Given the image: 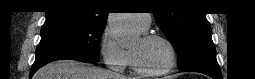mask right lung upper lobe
<instances>
[{
    "label": "right lung upper lobe",
    "instance_id": "right-lung-upper-lobe-1",
    "mask_svg": "<svg viewBox=\"0 0 255 79\" xmlns=\"http://www.w3.org/2000/svg\"><path fill=\"white\" fill-rule=\"evenodd\" d=\"M108 12L98 0H55L46 12V21H71L105 26Z\"/></svg>",
    "mask_w": 255,
    "mask_h": 79
}]
</instances>
